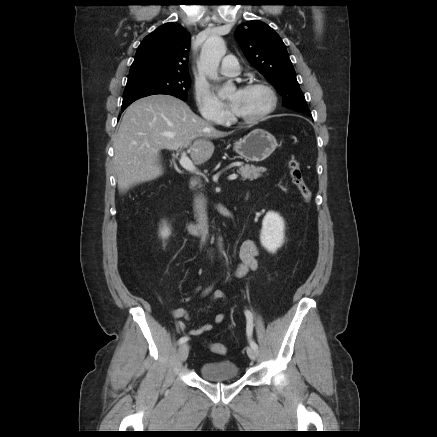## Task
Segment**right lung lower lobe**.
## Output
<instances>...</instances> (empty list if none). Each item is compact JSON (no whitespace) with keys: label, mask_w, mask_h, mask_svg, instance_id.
I'll list each match as a JSON object with an SVG mask.
<instances>
[{"label":"right lung lower lobe","mask_w":437,"mask_h":437,"mask_svg":"<svg viewBox=\"0 0 437 437\" xmlns=\"http://www.w3.org/2000/svg\"><path fill=\"white\" fill-rule=\"evenodd\" d=\"M127 107H128V106H126V107H122V111H124Z\"/></svg>","instance_id":"right-lung-lower-lobe-1"}]
</instances>
